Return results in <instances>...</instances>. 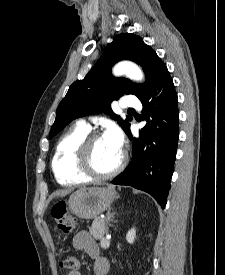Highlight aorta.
<instances>
[{
	"instance_id": "762f6f07",
	"label": "aorta",
	"mask_w": 225,
	"mask_h": 275,
	"mask_svg": "<svg viewBox=\"0 0 225 275\" xmlns=\"http://www.w3.org/2000/svg\"><path fill=\"white\" fill-rule=\"evenodd\" d=\"M113 74L115 76L125 75L134 81H142L144 79L142 70L131 62H121L117 64L113 69Z\"/></svg>"
}]
</instances>
